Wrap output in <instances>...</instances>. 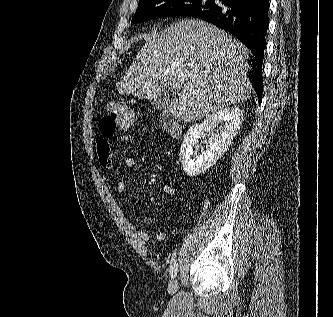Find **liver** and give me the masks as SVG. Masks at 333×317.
I'll use <instances>...</instances> for the list:
<instances>
[{
    "label": "liver",
    "instance_id": "obj_1",
    "mask_svg": "<svg viewBox=\"0 0 333 317\" xmlns=\"http://www.w3.org/2000/svg\"><path fill=\"white\" fill-rule=\"evenodd\" d=\"M247 54L225 31L201 20H182L147 41L118 91L153 99L168 96L176 87L180 96L171 100L169 113L179 121L195 122L249 98Z\"/></svg>",
    "mask_w": 333,
    "mask_h": 317
}]
</instances>
